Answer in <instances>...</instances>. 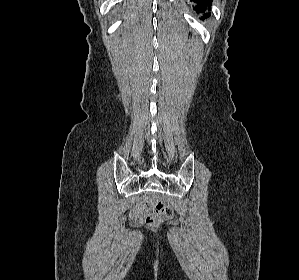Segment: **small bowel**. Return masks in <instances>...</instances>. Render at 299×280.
I'll return each mask as SVG.
<instances>
[{
	"label": "small bowel",
	"instance_id": "1",
	"mask_svg": "<svg viewBox=\"0 0 299 280\" xmlns=\"http://www.w3.org/2000/svg\"><path fill=\"white\" fill-rule=\"evenodd\" d=\"M151 210L152 207L148 204V202L142 200L132 210L131 215L136 220H143L150 214Z\"/></svg>",
	"mask_w": 299,
	"mask_h": 280
}]
</instances>
